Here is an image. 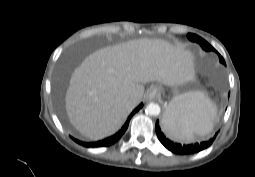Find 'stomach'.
Returning <instances> with one entry per match:
<instances>
[{
  "mask_svg": "<svg viewBox=\"0 0 255 177\" xmlns=\"http://www.w3.org/2000/svg\"><path fill=\"white\" fill-rule=\"evenodd\" d=\"M170 110H171V107H170V105H169V106L166 108V111H165L163 120L165 119L167 113H168Z\"/></svg>",
  "mask_w": 255,
  "mask_h": 177,
  "instance_id": "stomach-1",
  "label": "stomach"
}]
</instances>
